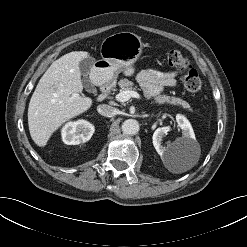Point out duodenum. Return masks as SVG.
<instances>
[{"instance_id":"duodenum-1","label":"duodenum","mask_w":247,"mask_h":247,"mask_svg":"<svg viewBox=\"0 0 247 247\" xmlns=\"http://www.w3.org/2000/svg\"><path fill=\"white\" fill-rule=\"evenodd\" d=\"M109 92H110V87L109 86H103L101 93L99 95V100L100 101L104 100L108 96Z\"/></svg>"}]
</instances>
